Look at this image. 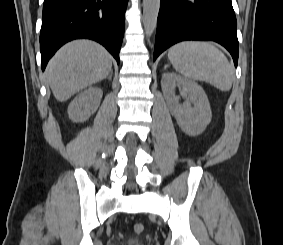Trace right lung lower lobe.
I'll return each mask as SVG.
<instances>
[{
  "instance_id": "obj_1",
  "label": "right lung lower lobe",
  "mask_w": 283,
  "mask_h": 245,
  "mask_svg": "<svg viewBox=\"0 0 283 245\" xmlns=\"http://www.w3.org/2000/svg\"><path fill=\"white\" fill-rule=\"evenodd\" d=\"M128 0H45L40 33L42 70L66 42L101 43L119 63Z\"/></svg>"
}]
</instances>
